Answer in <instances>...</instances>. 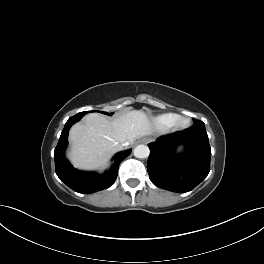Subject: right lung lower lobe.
Segmentation results:
<instances>
[{
    "instance_id": "right-lung-lower-lobe-1",
    "label": "right lung lower lobe",
    "mask_w": 264,
    "mask_h": 264,
    "mask_svg": "<svg viewBox=\"0 0 264 264\" xmlns=\"http://www.w3.org/2000/svg\"><path fill=\"white\" fill-rule=\"evenodd\" d=\"M82 116L83 115L77 114L73 117H70L66 122L54 152L55 170L60 180L63 181L68 187L78 193L89 194L109 188L113 185L117 178L119 164L131 153V149L117 153L114 156V162L112 166L103 174L84 172L73 168L72 165L66 160L64 153L68 143V131L72 124L79 121Z\"/></svg>"
}]
</instances>
